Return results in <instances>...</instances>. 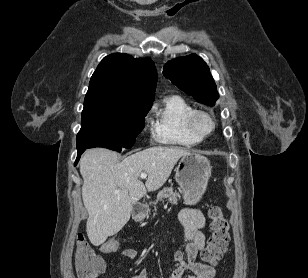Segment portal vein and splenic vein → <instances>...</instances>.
Returning <instances> with one entry per match:
<instances>
[{
  "label": "portal vein and splenic vein",
  "instance_id": "1",
  "mask_svg": "<svg viewBox=\"0 0 308 278\" xmlns=\"http://www.w3.org/2000/svg\"><path fill=\"white\" fill-rule=\"evenodd\" d=\"M140 178H141V179L147 178V173H144V172L141 173V174H140ZM119 192H120V191H116V193H119Z\"/></svg>",
  "mask_w": 308,
  "mask_h": 278
}]
</instances>
